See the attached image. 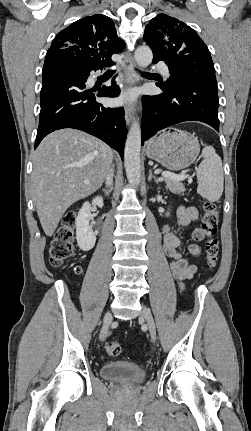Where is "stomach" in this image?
<instances>
[{"label": "stomach", "instance_id": "1", "mask_svg": "<svg viewBox=\"0 0 251 431\" xmlns=\"http://www.w3.org/2000/svg\"><path fill=\"white\" fill-rule=\"evenodd\" d=\"M199 151L200 145L194 135L175 128L162 131L146 147L147 157L173 171L190 166Z\"/></svg>", "mask_w": 251, "mask_h": 431}]
</instances>
